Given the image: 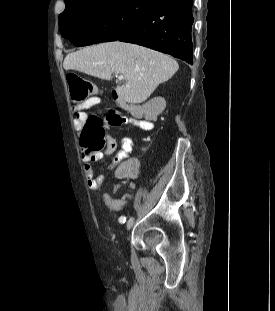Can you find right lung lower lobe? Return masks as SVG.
Listing matches in <instances>:
<instances>
[{
  "instance_id": "1",
  "label": "right lung lower lobe",
  "mask_w": 275,
  "mask_h": 311,
  "mask_svg": "<svg viewBox=\"0 0 275 311\" xmlns=\"http://www.w3.org/2000/svg\"><path fill=\"white\" fill-rule=\"evenodd\" d=\"M192 0H161L115 40L139 44L193 64Z\"/></svg>"
}]
</instances>
